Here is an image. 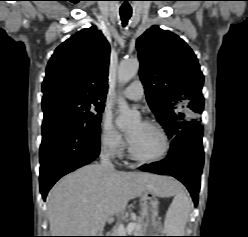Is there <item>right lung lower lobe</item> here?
Segmentation results:
<instances>
[{"instance_id":"1","label":"right lung lower lobe","mask_w":248,"mask_h":237,"mask_svg":"<svg viewBox=\"0 0 248 237\" xmlns=\"http://www.w3.org/2000/svg\"><path fill=\"white\" fill-rule=\"evenodd\" d=\"M40 146V191L43 199L65 174L94 161L100 151V126L43 122Z\"/></svg>"}]
</instances>
